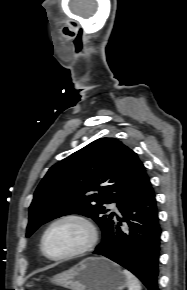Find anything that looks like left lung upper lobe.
<instances>
[{"label": "left lung upper lobe", "mask_w": 187, "mask_h": 290, "mask_svg": "<svg viewBox=\"0 0 187 290\" xmlns=\"http://www.w3.org/2000/svg\"><path fill=\"white\" fill-rule=\"evenodd\" d=\"M145 176L144 165L123 143L115 138L93 141L49 169L34 193L26 236L69 214L92 218L104 236L114 213L108 215L103 204L118 206Z\"/></svg>", "instance_id": "5c2ea615"}]
</instances>
